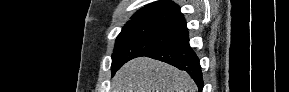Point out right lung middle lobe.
<instances>
[{
	"label": "right lung middle lobe",
	"mask_w": 289,
	"mask_h": 92,
	"mask_svg": "<svg viewBox=\"0 0 289 92\" xmlns=\"http://www.w3.org/2000/svg\"><path fill=\"white\" fill-rule=\"evenodd\" d=\"M188 35L187 27L153 20H130L117 37L112 75L127 61L174 44Z\"/></svg>",
	"instance_id": "dd1d6c3e"
}]
</instances>
